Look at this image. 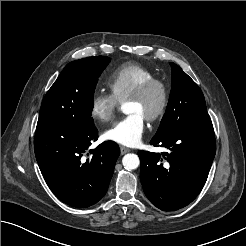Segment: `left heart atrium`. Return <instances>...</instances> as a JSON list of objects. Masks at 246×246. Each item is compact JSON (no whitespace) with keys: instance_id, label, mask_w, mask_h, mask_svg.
<instances>
[{"instance_id":"1","label":"left heart atrium","mask_w":246,"mask_h":246,"mask_svg":"<svg viewBox=\"0 0 246 246\" xmlns=\"http://www.w3.org/2000/svg\"><path fill=\"white\" fill-rule=\"evenodd\" d=\"M144 129V117L139 113H130L108 129L104 136L118 144L134 147L140 143Z\"/></svg>"}]
</instances>
